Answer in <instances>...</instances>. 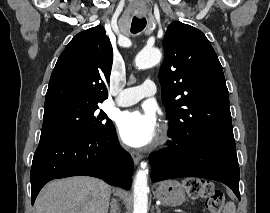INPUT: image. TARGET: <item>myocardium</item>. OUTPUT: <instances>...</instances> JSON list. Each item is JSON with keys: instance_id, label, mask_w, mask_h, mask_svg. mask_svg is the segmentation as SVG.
Wrapping results in <instances>:
<instances>
[{"instance_id": "f54148a6", "label": "myocardium", "mask_w": 270, "mask_h": 213, "mask_svg": "<svg viewBox=\"0 0 270 213\" xmlns=\"http://www.w3.org/2000/svg\"><path fill=\"white\" fill-rule=\"evenodd\" d=\"M170 139L169 131L167 127H163L161 134L158 138L157 144L158 145H163L165 144L168 140Z\"/></svg>"}]
</instances>
